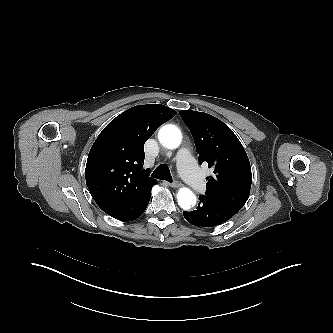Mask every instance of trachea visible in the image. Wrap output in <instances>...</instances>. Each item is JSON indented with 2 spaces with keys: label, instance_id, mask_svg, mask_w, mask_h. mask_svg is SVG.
<instances>
[{
  "label": "trachea",
  "instance_id": "trachea-1",
  "mask_svg": "<svg viewBox=\"0 0 333 333\" xmlns=\"http://www.w3.org/2000/svg\"><path fill=\"white\" fill-rule=\"evenodd\" d=\"M151 177L166 180L168 182H172V176L169 170V167L166 164L159 165L154 172L152 173Z\"/></svg>",
  "mask_w": 333,
  "mask_h": 333
}]
</instances>
